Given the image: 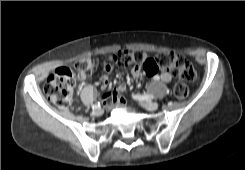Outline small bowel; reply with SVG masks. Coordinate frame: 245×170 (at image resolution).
Returning <instances> with one entry per match:
<instances>
[{
	"mask_svg": "<svg viewBox=\"0 0 245 170\" xmlns=\"http://www.w3.org/2000/svg\"><path fill=\"white\" fill-rule=\"evenodd\" d=\"M165 77H167V76L165 75ZM123 96H124L123 92H117L116 93V98H123Z\"/></svg>",
	"mask_w": 245,
	"mask_h": 170,
	"instance_id": "1",
	"label": "small bowel"
}]
</instances>
